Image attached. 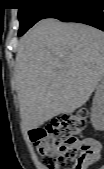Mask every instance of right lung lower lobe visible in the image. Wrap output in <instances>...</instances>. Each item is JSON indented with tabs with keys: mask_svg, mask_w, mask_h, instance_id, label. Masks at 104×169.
I'll return each mask as SVG.
<instances>
[{
	"mask_svg": "<svg viewBox=\"0 0 104 169\" xmlns=\"http://www.w3.org/2000/svg\"><path fill=\"white\" fill-rule=\"evenodd\" d=\"M45 18L84 23L104 31V0H61Z\"/></svg>",
	"mask_w": 104,
	"mask_h": 169,
	"instance_id": "98d812e1",
	"label": "right lung lower lobe"
}]
</instances>
